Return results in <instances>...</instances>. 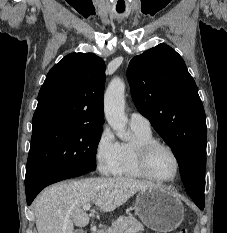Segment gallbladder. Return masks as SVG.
Returning <instances> with one entry per match:
<instances>
[{"mask_svg": "<svg viewBox=\"0 0 227 233\" xmlns=\"http://www.w3.org/2000/svg\"><path fill=\"white\" fill-rule=\"evenodd\" d=\"M75 233H84V231L82 229H78L75 231Z\"/></svg>", "mask_w": 227, "mask_h": 233, "instance_id": "obj_1", "label": "gallbladder"}]
</instances>
